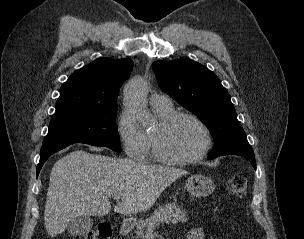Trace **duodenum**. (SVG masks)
Wrapping results in <instances>:
<instances>
[{
	"mask_svg": "<svg viewBox=\"0 0 304 239\" xmlns=\"http://www.w3.org/2000/svg\"><path fill=\"white\" fill-rule=\"evenodd\" d=\"M134 227V221L131 219H125L120 226V234L122 235H126L129 232H131V230Z\"/></svg>",
	"mask_w": 304,
	"mask_h": 239,
	"instance_id": "1",
	"label": "duodenum"
}]
</instances>
